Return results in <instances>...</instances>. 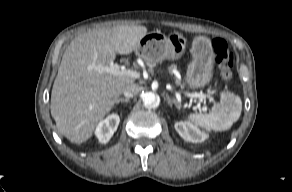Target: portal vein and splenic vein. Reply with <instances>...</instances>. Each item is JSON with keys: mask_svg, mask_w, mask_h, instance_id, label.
<instances>
[{"mask_svg": "<svg viewBox=\"0 0 292 192\" xmlns=\"http://www.w3.org/2000/svg\"><path fill=\"white\" fill-rule=\"evenodd\" d=\"M102 71H106L108 73H111L113 75L121 76V75H126L132 78H138L139 73L130 69H124L121 67L119 64H114L110 63L108 66H105L101 69ZM188 96L195 97V98H200L201 100L206 99V95L201 94V93H195V94H190Z\"/></svg>", "mask_w": 292, "mask_h": 192, "instance_id": "1", "label": "portal vein and splenic vein"}]
</instances>
